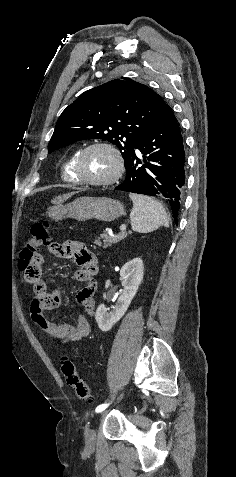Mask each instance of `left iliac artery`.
<instances>
[{
  "label": "left iliac artery",
  "instance_id": "obj_1",
  "mask_svg": "<svg viewBox=\"0 0 236 477\" xmlns=\"http://www.w3.org/2000/svg\"><path fill=\"white\" fill-rule=\"evenodd\" d=\"M108 406H109V403H108V404H107V403H106V404H101V405H99V406L96 407L95 411L98 413V412H100V410H102V409L104 410V409H106Z\"/></svg>",
  "mask_w": 236,
  "mask_h": 477
}]
</instances>
